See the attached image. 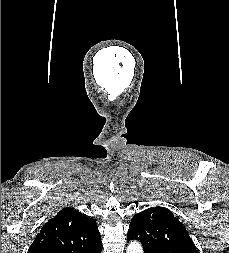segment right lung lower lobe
I'll return each instance as SVG.
<instances>
[{"label":"right lung lower lobe","mask_w":229,"mask_h":253,"mask_svg":"<svg viewBox=\"0 0 229 253\" xmlns=\"http://www.w3.org/2000/svg\"><path fill=\"white\" fill-rule=\"evenodd\" d=\"M101 251H102V245L96 250L92 251L91 253H101Z\"/></svg>","instance_id":"1"}]
</instances>
